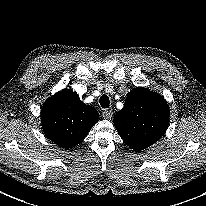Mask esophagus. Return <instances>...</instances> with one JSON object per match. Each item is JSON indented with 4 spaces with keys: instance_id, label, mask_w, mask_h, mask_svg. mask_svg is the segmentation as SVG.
I'll return each instance as SVG.
<instances>
[{
    "instance_id": "1",
    "label": "esophagus",
    "mask_w": 206,
    "mask_h": 206,
    "mask_svg": "<svg viewBox=\"0 0 206 206\" xmlns=\"http://www.w3.org/2000/svg\"><path fill=\"white\" fill-rule=\"evenodd\" d=\"M112 115H113L112 110H104L102 112V116L104 119H111Z\"/></svg>"
}]
</instances>
